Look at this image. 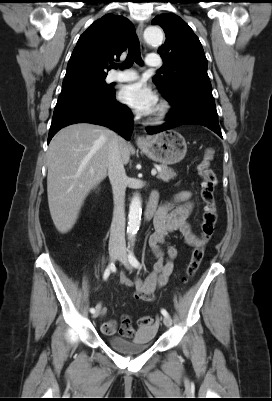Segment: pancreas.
<instances>
[{"label": "pancreas", "instance_id": "obj_1", "mask_svg": "<svg viewBox=\"0 0 272 401\" xmlns=\"http://www.w3.org/2000/svg\"><path fill=\"white\" fill-rule=\"evenodd\" d=\"M176 177V173L168 168L166 165H161L158 172L157 178L163 180L164 182H169L171 179Z\"/></svg>", "mask_w": 272, "mask_h": 401}]
</instances>
